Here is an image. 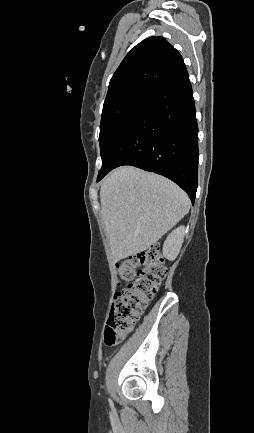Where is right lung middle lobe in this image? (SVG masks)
<instances>
[{
    "label": "right lung middle lobe",
    "instance_id": "right-lung-middle-lobe-1",
    "mask_svg": "<svg viewBox=\"0 0 254 433\" xmlns=\"http://www.w3.org/2000/svg\"><path fill=\"white\" fill-rule=\"evenodd\" d=\"M146 102L145 99H129L103 108L99 136L102 168L119 135Z\"/></svg>",
    "mask_w": 254,
    "mask_h": 433
}]
</instances>
